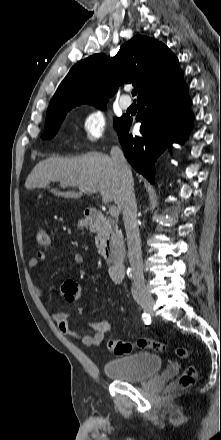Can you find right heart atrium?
<instances>
[{
  "label": "right heart atrium",
  "mask_w": 221,
  "mask_h": 440,
  "mask_svg": "<svg viewBox=\"0 0 221 440\" xmlns=\"http://www.w3.org/2000/svg\"><path fill=\"white\" fill-rule=\"evenodd\" d=\"M108 122L105 114L98 108L88 110L81 118L80 130L86 145L94 144L105 136Z\"/></svg>",
  "instance_id": "1"
}]
</instances>
